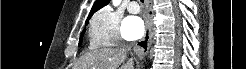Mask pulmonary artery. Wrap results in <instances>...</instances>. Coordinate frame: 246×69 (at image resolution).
<instances>
[{
	"instance_id": "1",
	"label": "pulmonary artery",
	"mask_w": 246,
	"mask_h": 69,
	"mask_svg": "<svg viewBox=\"0 0 246 69\" xmlns=\"http://www.w3.org/2000/svg\"><path fill=\"white\" fill-rule=\"evenodd\" d=\"M128 11L133 14L138 13L139 12L138 4L136 2H130L128 5Z\"/></svg>"
}]
</instances>
